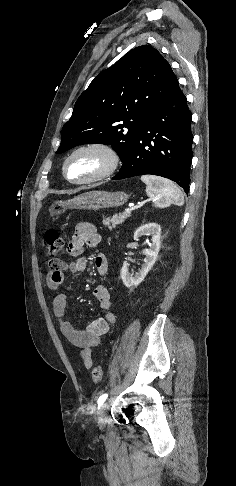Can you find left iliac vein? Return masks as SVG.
<instances>
[{
    "mask_svg": "<svg viewBox=\"0 0 236 486\" xmlns=\"http://www.w3.org/2000/svg\"><path fill=\"white\" fill-rule=\"evenodd\" d=\"M108 409L107 403L102 404L98 409V424L101 429L106 425V412Z\"/></svg>",
    "mask_w": 236,
    "mask_h": 486,
    "instance_id": "1",
    "label": "left iliac vein"
}]
</instances>
